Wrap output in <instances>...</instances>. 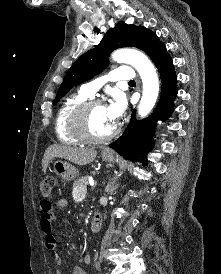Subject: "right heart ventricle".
<instances>
[{"mask_svg":"<svg viewBox=\"0 0 221 274\" xmlns=\"http://www.w3.org/2000/svg\"><path fill=\"white\" fill-rule=\"evenodd\" d=\"M89 99H91V96L80 90L71 94L62 102L56 113L54 123L55 135L60 142L68 145H76L82 142L70 129V116L78 104Z\"/></svg>","mask_w":221,"mask_h":274,"instance_id":"e07e8e85","label":"right heart ventricle"}]
</instances>
